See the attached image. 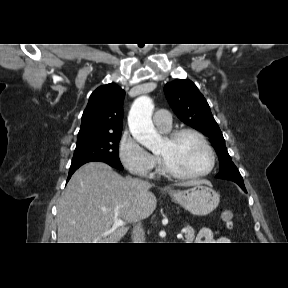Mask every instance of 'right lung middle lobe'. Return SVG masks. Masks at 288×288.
Here are the masks:
<instances>
[{
  "instance_id": "right-lung-middle-lobe-1",
  "label": "right lung middle lobe",
  "mask_w": 288,
  "mask_h": 288,
  "mask_svg": "<svg viewBox=\"0 0 288 288\" xmlns=\"http://www.w3.org/2000/svg\"><path fill=\"white\" fill-rule=\"evenodd\" d=\"M120 136L121 132L78 140L71 165L102 161L123 169L118 156Z\"/></svg>"
}]
</instances>
